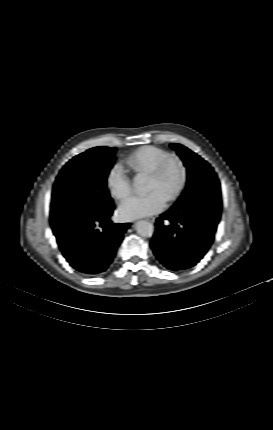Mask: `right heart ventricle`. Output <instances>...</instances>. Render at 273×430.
<instances>
[{"mask_svg":"<svg viewBox=\"0 0 273 430\" xmlns=\"http://www.w3.org/2000/svg\"><path fill=\"white\" fill-rule=\"evenodd\" d=\"M171 154L160 147L142 146L129 154L124 162L135 174H150Z\"/></svg>","mask_w":273,"mask_h":430,"instance_id":"e07e8e85","label":"right heart ventricle"}]
</instances>
